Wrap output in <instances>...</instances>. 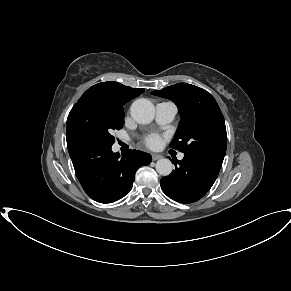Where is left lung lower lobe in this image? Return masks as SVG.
I'll list each match as a JSON object with an SVG mask.
<instances>
[{
	"label": "left lung lower lobe",
	"mask_w": 291,
	"mask_h": 291,
	"mask_svg": "<svg viewBox=\"0 0 291 291\" xmlns=\"http://www.w3.org/2000/svg\"><path fill=\"white\" fill-rule=\"evenodd\" d=\"M175 170L160 180L163 192L180 203L201 199L212 187L219 174L223 158H205L184 154L176 160Z\"/></svg>",
	"instance_id": "obj_1"
}]
</instances>
